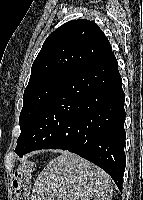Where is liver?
Here are the masks:
<instances>
[{
    "label": "liver",
    "mask_w": 143,
    "mask_h": 200,
    "mask_svg": "<svg viewBox=\"0 0 143 200\" xmlns=\"http://www.w3.org/2000/svg\"><path fill=\"white\" fill-rule=\"evenodd\" d=\"M110 176L84 158L64 151L39 173L31 200H111Z\"/></svg>",
    "instance_id": "1"
}]
</instances>
